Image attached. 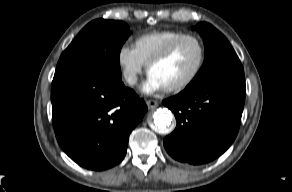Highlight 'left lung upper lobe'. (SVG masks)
<instances>
[{
  "instance_id": "obj_1",
  "label": "left lung upper lobe",
  "mask_w": 292,
  "mask_h": 192,
  "mask_svg": "<svg viewBox=\"0 0 292 192\" xmlns=\"http://www.w3.org/2000/svg\"><path fill=\"white\" fill-rule=\"evenodd\" d=\"M193 29L203 38L205 61L187 87L224 78L245 79L242 64L222 33L206 22L199 23Z\"/></svg>"
}]
</instances>
